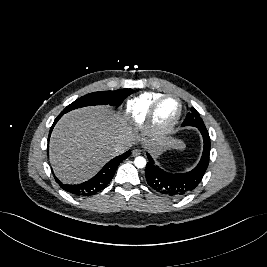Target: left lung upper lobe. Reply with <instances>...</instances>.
Returning a JSON list of instances; mask_svg holds the SVG:
<instances>
[{"mask_svg":"<svg viewBox=\"0 0 267 267\" xmlns=\"http://www.w3.org/2000/svg\"><path fill=\"white\" fill-rule=\"evenodd\" d=\"M182 126H195L197 128L205 127L202 118L196 109L191 108L187 114Z\"/></svg>","mask_w":267,"mask_h":267,"instance_id":"5c2ea615","label":"left lung upper lobe"}]
</instances>
